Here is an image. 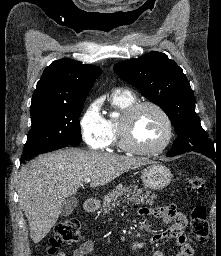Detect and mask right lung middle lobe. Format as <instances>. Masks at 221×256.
I'll return each mask as SVG.
<instances>
[{
	"label": "right lung middle lobe",
	"instance_id": "right-lung-middle-lobe-1",
	"mask_svg": "<svg viewBox=\"0 0 221 256\" xmlns=\"http://www.w3.org/2000/svg\"><path fill=\"white\" fill-rule=\"evenodd\" d=\"M83 103L30 111L32 126L20 160L24 162L57 146L79 145L82 139L79 115Z\"/></svg>",
	"mask_w": 221,
	"mask_h": 256
}]
</instances>
